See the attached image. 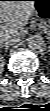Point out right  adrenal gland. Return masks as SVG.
Masks as SVG:
<instances>
[{
  "label": "right adrenal gland",
  "mask_w": 50,
  "mask_h": 111,
  "mask_svg": "<svg viewBox=\"0 0 50 111\" xmlns=\"http://www.w3.org/2000/svg\"><path fill=\"white\" fill-rule=\"evenodd\" d=\"M3 47H4V48H3ZM8 48H9V45H3V46H1V50H2V49H5L6 52L8 51Z\"/></svg>",
  "instance_id": "1"
}]
</instances>
